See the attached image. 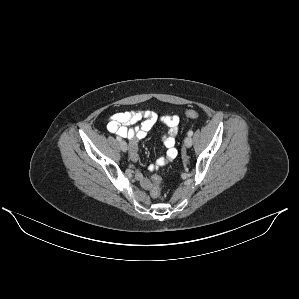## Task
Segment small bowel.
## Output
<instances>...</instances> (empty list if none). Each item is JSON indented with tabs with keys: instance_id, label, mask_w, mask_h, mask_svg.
<instances>
[{
	"instance_id": "small-bowel-1",
	"label": "small bowel",
	"mask_w": 299,
	"mask_h": 299,
	"mask_svg": "<svg viewBox=\"0 0 299 299\" xmlns=\"http://www.w3.org/2000/svg\"><path fill=\"white\" fill-rule=\"evenodd\" d=\"M138 121H142L139 126L134 128L130 127V125ZM158 121L163 123L168 130L162 137L163 144L166 147L165 155L158 158L149 166V170L155 171L165 166L168 162L173 161L178 155V151L175 147V137L180 125V118L178 116L163 115L159 117L151 110L118 112L110 117L107 129L110 133L128 140L130 159L136 162L138 160V141L144 139ZM136 177L145 189L151 188L150 180L143 175L141 171H136Z\"/></svg>"
}]
</instances>
